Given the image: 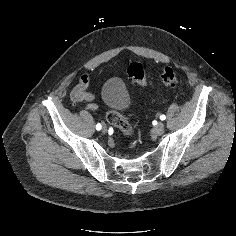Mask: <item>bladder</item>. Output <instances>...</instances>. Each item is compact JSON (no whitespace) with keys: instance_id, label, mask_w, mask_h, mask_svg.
I'll use <instances>...</instances> for the list:
<instances>
[{"instance_id":"obj_1","label":"bladder","mask_w":236,"mask_h":236,"mask_svg":"<svg viewBox=\"0 0 236 236\" xmlns=\"http://www.w3.org/2000/svg\"><path fill=\"white\" fill-rule=\"evenodd\" d=\"M103 104L112 110L123 111L130 104L129 94L118 78L108 79L101 88Z\"/></svg>"}]
</instances>
